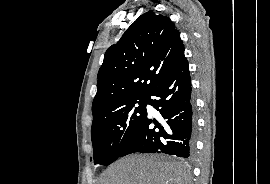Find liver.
<instances>
[{
  "label": "liver",
  "instance_id": "6515ba94",
  "mask_svg": "<svg viewBox=\"0 0 270 184\" xmlns=\"http://www.w3.org/2000/svg\"><path fill=\"white\" fill-rule=\"evenodd\" d=\"M185 164L154 155L119 159L100 176L99 184H188Z\"/></svg>",
  "mask_w": 270,
  "mask_h": 184
}]
</instances>
